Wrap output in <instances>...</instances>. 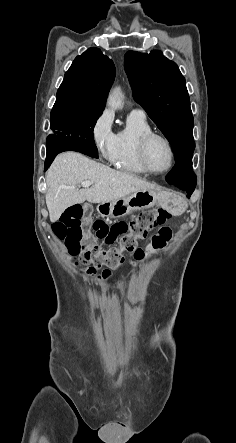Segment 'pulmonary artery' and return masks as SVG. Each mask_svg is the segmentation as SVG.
<instances>
[{
    "label": "pulmonary artery",
    "mask_w": 236,
    "mask_h": 443,
    "mask_svg": "<svg viewBox=\"0 0 236 443\" xmlns=\"http://www.w3.org/2000/svg\"><path fill=\"white\" fill-rule=\"evenodd\" d=\"M130 114L146 117L145 110L143 108H140V107L132 109Z\"/></svg>",
    "instance_id": "1"
}]
</instances>
